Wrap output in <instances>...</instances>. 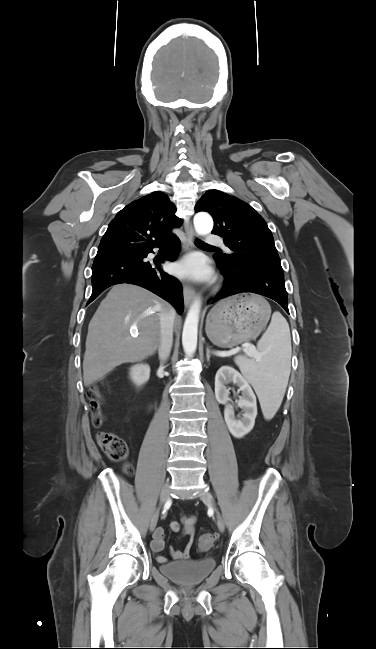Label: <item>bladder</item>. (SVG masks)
I'll list each match as a JSON object with an SVG mask.
<instances>
[{
    "instance_id": "31cf9c89",
    "label": "bladder",
    "mask_w": 376,
    "mask_h": 649,
    "mask_svg": "<svg viewBox=\"0 0 376 649\" xmlns=\"http://www.w3.org/2000/svg\"><path fill=\"white\" fill-rule=\"evenodd\" d=\"M216 561L207 557L199 560H182L166 562L160 565V571L171 580L183 584L201 583L215 569Z\"/></svg>"
}]
</instances>
